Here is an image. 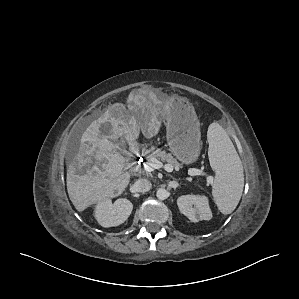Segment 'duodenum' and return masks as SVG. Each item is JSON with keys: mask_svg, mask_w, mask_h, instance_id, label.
I'll return each instance as SVG.
<instances>
[{"mask_svg": "<svg viewBox=\"0 0 299 299\" xmlns=\"http://www.w3.org/2000/svg\"><path fill=\"white\" fill-rule=\"evenodd\" d=\"M138 156H139L138 151L132 148L127 159V164L133 165L137 161Z\"/></svg>", "mask_w": 299, "mask_h": 299, "instance_id": "obj_1", "label": "duodenum"}]
</instances>
